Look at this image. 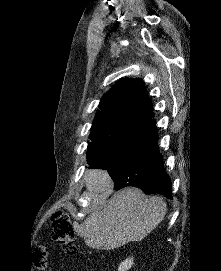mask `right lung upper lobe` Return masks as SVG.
Instances as JSON below:
<instances>
[{
  "instance_id": "right-lung-upper-lobe-1",
  "label": "right lung upper lobe",
  "mask_w": 221,
  "mask_h": 271,
  "mask_svg": "<svg viewBox=\"0 0 221 271\" xmlns=\"http://www.w3.org/2000/svg\"><path fill=\"white\" fill-rule=\"evenodd\" d=\"M91 133L107 128L150 131L153 108L141 79H122L102 97Z\"/></svg>"
}]
</instances>
